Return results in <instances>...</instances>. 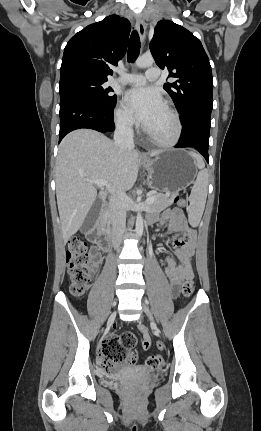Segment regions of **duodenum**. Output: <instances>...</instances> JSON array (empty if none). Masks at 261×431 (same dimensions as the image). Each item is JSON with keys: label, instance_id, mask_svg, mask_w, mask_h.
Here are the masks:
<instances>
[{"label": "duodenum", "instance_id": "410a0bca", "mask_svg": "<svg viewBox=\"0 0 261 431\" xmlns=\"http://www.w3.org/2000/svg\"><path fill=\"white\" fill-rule=\"evenodd\" d=\"M106 213L107 210L103 207L99 212L94 231L90 236L103 251H108L111 247V238L106 228Z\"/></svg>", "mask_w": 261, "mask_h": 431}]
</instances>
